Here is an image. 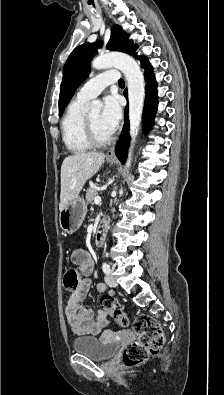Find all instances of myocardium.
<instances>
[{
  "instance_id": "1",
  "label": "myocardium",
  "mask_w": 224,
  "mask_h": 395,
  "mask_svg": "<svg viewBox=\"0 0 224 395\" xmlns=\"http://www.w3.org/2000/svg\"><path fill=\"white\" fill-rule=\"evenodd\" d=\"M84 130H85L86 138L91 144V146L102 147L109 144L113 140L112 134L104 139H101L96 135V132L92 126L88 114H85L84 116Z\"/></svg>"
}]
</instances>
